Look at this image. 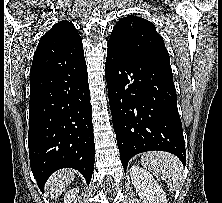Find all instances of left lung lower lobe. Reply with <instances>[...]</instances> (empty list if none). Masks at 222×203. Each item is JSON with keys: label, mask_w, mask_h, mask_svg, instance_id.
I'll list each match as a JSON object with an SVG mask.
<instances>
[{"label": "left lung lower lobe", "mask_w": 222, "mask_h": 203, "mask_svg": "<svg viewBox=\"0 0 222 203\" xmlns=\"http://www.w3.org/2000/svg\"><path fill=\"white\" fill-rule=\"evenodd\" d=\"M105 77L124 170L133 156L151 150L170 152L185 165V143L170 63L128 57L108 47Z\"/></svg>", "instance_id": "1"}]
</instances>
